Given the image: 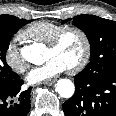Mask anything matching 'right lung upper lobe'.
Instances as JSON below:
<instances>
[{
    "label": "right lung upper lobe",
    "mask_w": 116,
    "mask_h": 116,
    "mask_svg": "<svg viewBox=\"0 0 116 116\" xmlns=\"http://www.w3.org/2000/svg\"><path fill=\"white\" fill-rule=\"evenodd\" d=\"M21 20H23V19H19L17 17L11 16V15H0V21L15 23V22H19Z\"/></svg>",
    "instance_id": "obj_1"
}]
</instances>
